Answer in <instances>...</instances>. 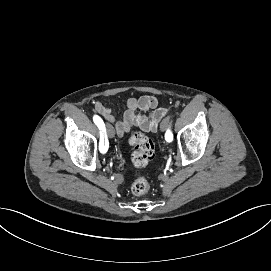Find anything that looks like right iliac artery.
<instances>
[{"label":"right iliac artery","instance_id":"82829eb1","mask_svg":"<svg viewBox=\"0 0 271 271\" xmlns=\"http://www.w3.org/2000/svg\"><path fill=\"white\" fill-rule=\"evenodd\" d=\"M93 121L100 130V139L102 140L103 143L104 152L108 153L109 150H111V145H109V139H107L105 124L98 115H94Z\"/></svg>","mask_w":271,"mask_h":271}]
</instances>
